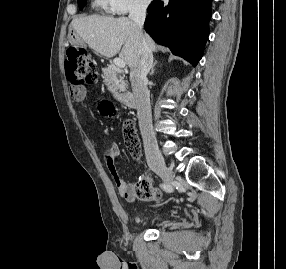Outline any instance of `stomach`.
<instances>
[{"instance_id": "stomach-1", "label": "stomach", "mask_w": 286, "mask_h": 269, "mask_svg": "<svg viewBox=\"0 0 286 269\" xmlns=\"http://www.w3.org/2000/svg\"><path fill=\"white\" fill-rule=\"evenodd\" d=\"M69 42L75 45H81L83 40L75 33L69 35Z\"/></svg>"}]
</instances>
